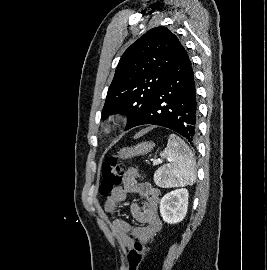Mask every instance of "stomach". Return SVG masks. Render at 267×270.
<instances>
[{
    "mask_svg": "<svg viewBox=\"0 0 267 270\" xmlns=\"http://www.w3.org/2000/svg\"><path fill=\"white\" fill-rule=\"evenodd\" d=\"M154 144L152 142H142L134 147H126L118 152V157L122 159L131 158L137 155H144L153 149Z\"/></svg>",
    "mask_w": 267,
    "mask_h": 270,
    "instance_id": "1",
    "label": "stomach"
}]
</instances>
